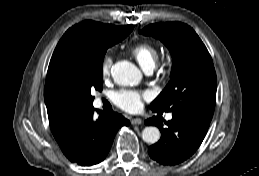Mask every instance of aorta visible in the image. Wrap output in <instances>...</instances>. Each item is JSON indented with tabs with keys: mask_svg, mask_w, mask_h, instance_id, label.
<instances>
[{
	"mask_svg": "<svg viewBox=\"0 0 259 176\" xmlns=\"http://www.w3.org/2000/svg\"><path fill=\"white\" fill-rule=\"evenodd\" d=\"M112 77L117 84L128 86L138 83L141 74L138 68L129 61H119L112 67ZM160 131L155 126L145 127L142 131L144 142L154 144L160 139Z\"/></svg>",
	"mask_w": 259,
	"mask_h": 176,
	"instance_id": "obj_1",
	"label": "aorta"
}]
</instances>
